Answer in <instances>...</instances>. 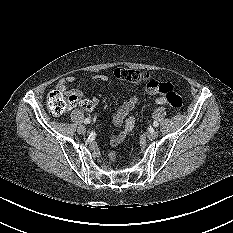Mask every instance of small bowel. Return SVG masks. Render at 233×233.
Wrapping results in <instances>:
<instances>
[{"label":"small bowel","mask_w":233,"mask_h":233,"mask_svg":"<svg viewBox=\"0 0 233 233\" xmlns=\"http://www.w3.org/2000/svg\"><path fill=\"white\" fill-rule=\"evenodd\" d=\"M95 80L100 82H108L109 78L106 75H97L94 77ZM75 82L74 76H67L66 78L61 79L57 85L56 90L65 93L69 96H73L76 99V103L83 106L85 109L90 110L95 105L98 104V99L96 97L87 98L84 94L78 89H69L68 84ZM146 92L149 95H159L162 92L156 86H146ZM138 102V97L135 93H132L127 100H125L121 106L118 108L117 112L113 117V123L115 126H121L125 122V126L117 134L111 138V145L118 146L126 138L127 134L132 130L134 125V120L128 118V114L135 108ZM156 103L165 105L167 104L164 97H158Z\"/></svg>","instance_id":"1"}]
</instances>
